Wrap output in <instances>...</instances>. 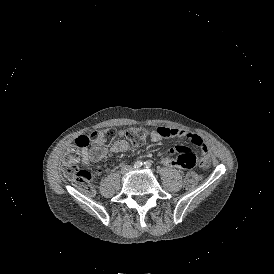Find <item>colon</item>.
Returning <instances> with one entry per match:
<instances>
[{"mask_svg":"<svg viewBox=\"0 0 274 274\" xmlns=\"http://www.w3.org/2000/svg\"><path fill=\"white\" fill-rule=\"evenodd\" d=\"M117 135L119 137L130 139L134 144H141L148 136V132L143 128H130L125 131L115 128H106L93 133V136L102 138L106 145L111 144ZM73 139L75 146H70L63 162L62 171L76 184L89 187V182L93 177L94 170L89 168H80L77 157V147H87L89 144L88 136L86 133H75ZM96 170L99 171L100 168L98 167ZM201 180V173L192 172L187 174L185 183L188 187L194 188L200 184Z\"/></svg>","mask_w":274,"mask_h":274,"instance_id":"5ec220e1","label":"colon"}]
</instances>
